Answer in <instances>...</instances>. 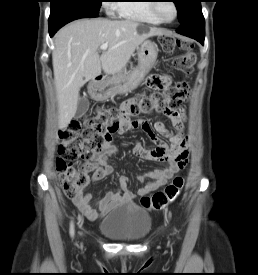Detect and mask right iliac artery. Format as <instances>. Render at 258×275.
<instances>
[{"label": "right iliac artery", "mask_w": 258, "mask_h": 275, "mask_svg": "<svg viewBox=\"0 0 258 275\" xmlns=\"http://www.w3.org/2000/svg\"><path fill=\"white\" fill-rule=\"evenodd\" d=\"M70 234H71V236L74 235V225H73V222H71V225H70Z\"/></svg>", "instance_id": "obj_1"}]
</instances>
